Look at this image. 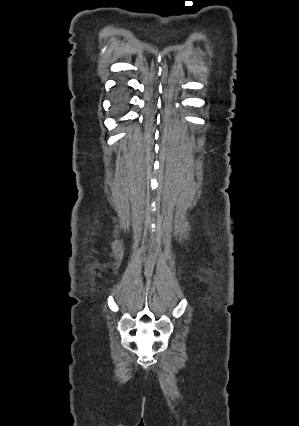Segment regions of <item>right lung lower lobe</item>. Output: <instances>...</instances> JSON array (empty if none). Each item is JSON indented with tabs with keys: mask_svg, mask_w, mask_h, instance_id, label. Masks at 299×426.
Listing matches in <instances>:
<instances>
[{
	"mask_svg": "<svg viewBox=\"0 0 299 426\" xmlns=\"http://www.w3.org/2000/svg\"><path fill=\"white\" fill-rule=\"evenodd\" d=\"M124 109V101L122 99H118L116 102L115 110L117 112H121Z\"/></svg>",
	"mask_w": 299,
	"mask_h": 426,
	"instance_id": "obj_1",
	"label": "right lung lower lobe"
}]
</instances>
